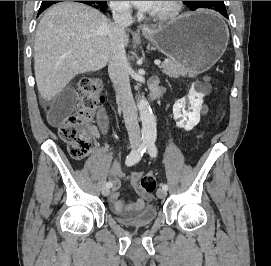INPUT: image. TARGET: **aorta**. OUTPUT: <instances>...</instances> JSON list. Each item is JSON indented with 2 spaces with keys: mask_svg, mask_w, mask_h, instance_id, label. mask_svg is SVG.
<instances>
[{
  "mask_svg": "<svg viewBox=\"0 0 271 266\" xmlns=\"http://www.w3.org/2000/svg\"><path fill=\"white\" fill-rule=\"evenodd\" d=\"M137 107L142 122V138L144 140H154L157 135L156 119L152 109L144 96L138 99Z\"/></svg>",
  "mask_w": 271,
  "mask_h": 266,
  "instance_id": "aorta-1",
  "label": "aorta"
}]
</instances>
